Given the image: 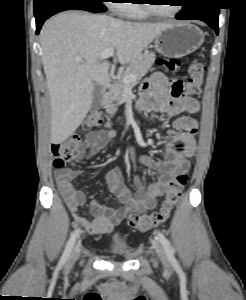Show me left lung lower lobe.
<instances>
[{
    "label": "left lung lower lobe",
    "mask_w": 246,
    "mask_h": 300,
    "mask_svg": "<svg viewBox=\"0 0 246 300\" xmlns=\"http://www.w3.org/2000/svg\"><path fill=\"white\" fill-rule=\"evenodd\" d=\"M219 7L214 0H190L182 11L176 15L177 19H198L206 22L218 35Z\"/></svg>",
    "instance_id": "left-lung-lower-lobe-1"
}]
</instances>
